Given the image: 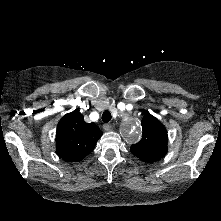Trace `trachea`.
<instances>
[{"instance_id":"1","label":"trachea","mask_w":221,"mask_h":221,"mask_svg":"<svg viewBox=\"0 0 221 221\" xmlns=\"http://www.w3.org/2000/svg\"><path fill=\"white\" fill-rule=\"evenodd\" d=\"M112 116H111V113L109 111H105L103 112L102 114V121L103 122H109L111 120Z\"/></svg>"}]
</instances>
